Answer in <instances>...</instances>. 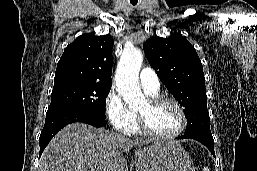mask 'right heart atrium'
Listing matches in <instances>:
<instances>
[{
  "label": "right heart atrium",
  "instance_id": "obj_1",
  "mask_svg": "<svg viewBox=\"0 0 257 171\" xmlns=\"http://www.w3.org/2000/svg\"><path fill=\"white\" fill-rule=\"evenodd\" d=\"M105 114L110 124L118 131L127 132L132 126L135 114L131 111L122 96L111 89L105 99Z\"/></svg>",
  "mask_w": 257,
  "mask_h": 171
}]
</instances>
